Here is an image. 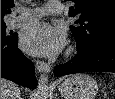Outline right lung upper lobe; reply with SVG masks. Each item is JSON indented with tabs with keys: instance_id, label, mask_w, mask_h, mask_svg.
I'll return each instance as SVG.
<instances>
[{
	"instance_id": "cb5924a9",
	"label": "right lung upper lobe",
	"mask_w": 115,
	"mask_h": 99,
	"mask_svg": "<svg viewBox=\"0 0 115 99\" xmlns=\"http://www.w3.org/2000/svg\"><path fill=\"white\" fill-rule=\"evenodd\" d=\"M12 7H14L13 0H1V22H4V15L10 13Z\"/></svg>"
}]
</instances>
